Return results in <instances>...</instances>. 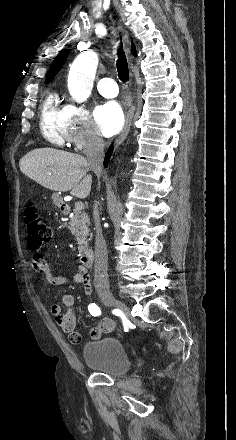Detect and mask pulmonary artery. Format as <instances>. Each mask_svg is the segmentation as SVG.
Returning a JSON list of instances; mask_svg holds the SVG:
<instances>
[{
  "mask_svg": "<svg viewBox=\"0 0 236 440\" xmlns=\"http://www.w3.org/2000/svg\"><path fill=\"white\" fill-rule=\"evenodd\" d=\"M97 89L101 95L107 98L116 97L118 94L117 84L110 77L101 78L97 84Z\"/></svg>",
  "mask_w": 236,
  "mask_h": 440,
  "instance_id": "1",
  "label": "pulmonary artery"
}]
</instances>
